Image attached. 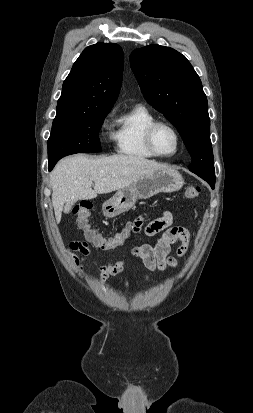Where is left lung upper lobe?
<instances>
[{
  "label": "left lung upper lobe",
  "mask_w": 253,
  "mask_h": 413,
  "mask_svg": "<svg viewBox=\"0 0 253 413\" xmlns=\"http://www.w3.org/2000/svg\"><path fill=\"white\" fill-rule=\"evenodd\" d=\"M130 64L145 99L179 131L192 157L190 171L215 177L208 102L190 62L155 44L135 49Z\"/></svg>",
  "instance_id": "5c2ea615"
}]
</instances>
